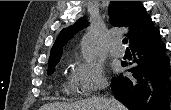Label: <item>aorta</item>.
Here are the masks:
<instances>
[{"instance_id":"aorta-1","label":"aorta","mask_w":171,"mask_h":110,"mask_svg":"<svg viewBox=\"0 0 171 110\" xmlns=\"http://www.w3.org/2000/svg\"><path fill=\"white\" fill-rule=\"evenodd\" d=\"M81 52L85 60H94L97 54V41L91 34L84 36L81 42Z\"/></svg>"}]
</instances>
